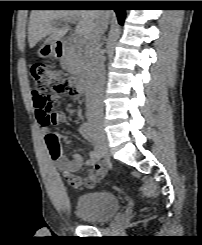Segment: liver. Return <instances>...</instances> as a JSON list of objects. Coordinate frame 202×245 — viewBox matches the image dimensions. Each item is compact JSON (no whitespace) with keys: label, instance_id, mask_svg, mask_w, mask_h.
Wrapping results in <instances>:
<instances>
[{"label":"liver","instance_id":"liver-1","mask_svg":"<svg viewBox=\"0 0 202 245\" xmlns=\"http://www.w3.org/2000/svg\"><path fill=\"white\" fill-rule=\"evenodd\" d=\"M111 12H96L93 10H33L30 14L28 26V42L30 48L40 40L46 38V42L61 40L69 30V26L61 28L53 26L54 22L67 19H78L76 32L88 39L95 28L99 18L109 21Z\"/></svg>","mask_w":202,"mask_h":245}]
</instances>
